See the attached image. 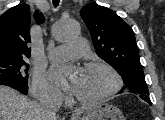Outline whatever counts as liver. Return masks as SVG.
Here are the masks:
<instances>
[{
    "label": "liver",
    "instance_id": "1",
    "mask_svg": "<svg viewBox=\"0 0 165 120\" xmlns=\"http://www.w3.org/2000/svg\"><path fill=\"white\" fill-rule=\"evenodd\" d=\"M41 118V106L37 102L10 87L0 86V120H42Z\"/></svg>",
    "mask_w": 165,
    "mask_h": 120
}]
</instances>
